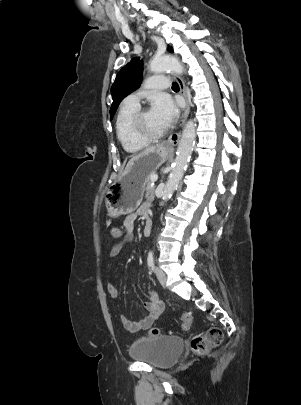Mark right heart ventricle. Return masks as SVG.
<instances>
[{"label":"right heart ventricle","instance_id":"obj_1","mask_svg":"<svg viewBox=\"0 0 301 405\" xmlns=\"http://www.w3.org/2000/svg\"><path fill=\"white\" fill-rule=\"evenodd\" d=\"M137 109L138 106L124 103L121 105L116 117V135L123 149L127 153H137L147 145V142L134 137L130 129L131 118Z\"/></svg>","mask_w":301,"mask_h":405}]
</instances>
